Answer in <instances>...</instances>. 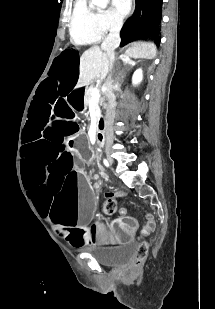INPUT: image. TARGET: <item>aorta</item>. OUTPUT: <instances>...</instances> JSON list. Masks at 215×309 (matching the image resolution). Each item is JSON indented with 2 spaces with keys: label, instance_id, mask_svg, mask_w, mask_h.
I'll return each mask as SVG.
<instances>
[{
  "label": "aorta",
  "instance_id": "762f6f07",
  "mask_svg": "<svg viewBox=\"0 0 215 309\" xmlns=\"http://www.w3.org/2000/svg\"><path fill=\"white\" fill-rule=\"evenodd\" d=\"M92 4H96L99 8H106L109 0H91Z\"/></svg>",
  "mask_w": 215,
  "mask_h": 309
}]
</instances>
